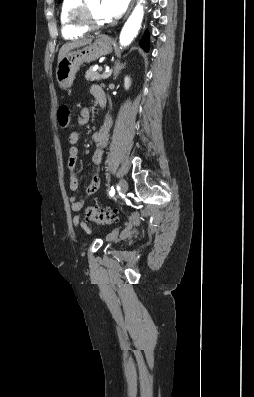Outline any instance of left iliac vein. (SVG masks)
<instances>
[{"mask_svg": "<svg viewBox=\"0 0 254 397\" xmlns=\"http://www.w3.org/2000/svg\"><path fill=\"white\" fill-rule=\"evenodd\" d=\"M119 189H120L121 193H126L127 192L128 183H127V181L125 179H121Z\"/></svg>", "mask_w": 254, "mask_h": 397, "instance_id": "4c4485c4", "label": "left iliac vein"}]
</instances>
